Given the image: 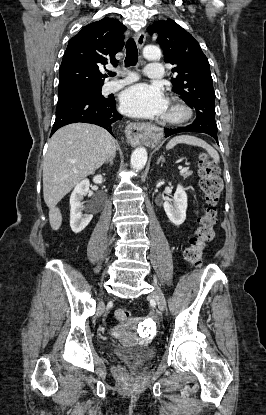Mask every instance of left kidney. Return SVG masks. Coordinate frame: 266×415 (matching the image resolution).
Masks as SVG:
<instances>
[{
    "label": "left kidney",
    "mask_w": 266,
    "mask_h": 415,
    "mask_svg": "<svg viewBox=\"0 0 266 415\" xmlns=\"http://www.w3.org/2000/svg\"><path fill=\"white\" fill-rule=\"evenodd\" d=\"M164 210L169 220L176 226L181 225L186 219L187 194L184 188L177 186L174 197L164 203Z\"/></svg>",
    "instance_id": "1"
}]
</instances>
